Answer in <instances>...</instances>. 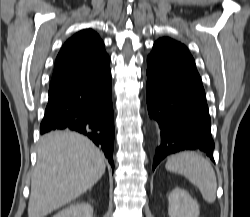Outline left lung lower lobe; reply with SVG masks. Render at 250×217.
Returning a JSON list of instances; mask_svg holds the SVG:
<instances>
[{
  "label": "left lung lower lobe",
  "mask_w": 250,
  "mask_h": 217,
  "mask_svg": "<svg viewBox=\"0 0 250 217\" xmlns=\"http://www.w3.org/2000/svg\"><path fill=\"white\" fill-rule=\"evenodd\" d=\"M147 64L148 113L161 129L153 170L168 155L185 150L202 151L214 161L205 91L186 46L158 40Z\"/></svg>",
  "instance_id": "obj_1"
}]
</instances>
